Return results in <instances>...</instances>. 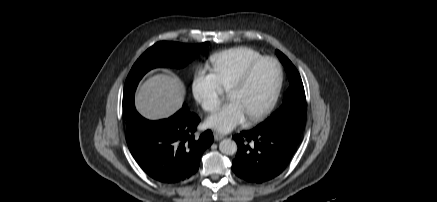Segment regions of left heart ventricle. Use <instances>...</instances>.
Wrapping results in <instances>:
<instances>
[{"label": "left heart ventricle", "instance_id": "b2bd125f", "mask_svg": "<svg viewBox=\"0 0 437 202\" xmlns=\"http://www.w3.org/2000/svg\"><path fill=\"white\" fill-rule=\"evenodd\" d=\"M277 76V67L272 61L261 63L246 85L229 94L230 101L238 102L247 118L258 113L270 100Z\"/></svg>", "mask_w": 437, "mask_h": 202}]
</instances>
